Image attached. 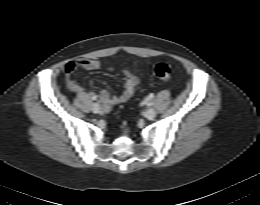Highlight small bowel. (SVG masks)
<instances>
[{
    "label": "small bowel",
    "instance_id": "small-bowel-1",
    "mask_svg": "<svg viewBox=\"0 0 260 205\" xmlns=\"http://www.w3.org/2000/svg\"><path fill=\"white\" fill-rule=\"evenodd\" d=\"M99 67L100 62L91 58H82L77 61L68 62L64 68V80L67 88L73 92H83L84 87L74 79V72L77 68L96 70ZM120 74L122 75L124 82V88L122 92L111 97L109 91L101 90L98 95L100 102L106 109L127 101L133 96L137 89L139 83L137 73L131 72L129 70H121Z\"/></svg>",
    "mask_w": 260,
    "mask_h": 205
}]
</instances>
